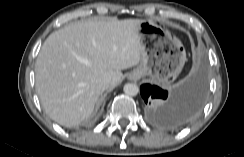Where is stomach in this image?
<instances>
[{
    "label": "stomach",
    "mask_w": 244,
    "mask_h": 157,
    "mask_svg": "<svg viewBox=\"0 0 244 157\" xmlns=\"http://www.w3.org/2000/svg\"><path fill=\"white\" fill-rule=\"evenodd\" d=\"M138 36L142 45L141 60L134 73L140 77L148 76L149 81L167 85L181 72L186 51L182 42L158 20H142Z\"/></svg>",
    "instance_id": "0dacf381"
}]
</instances>
